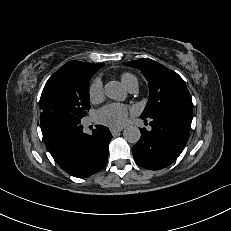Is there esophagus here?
Returning a JSON list of instances; mask_svg holds the SVG:
<instances>
[{"label": "esophagus", "instance_id": "1", "mask_svg": "<svg viewBox=\"0 0 231 231\" xmlns=\"http://www.w3.org/2000/svg\"><path fill=\"white\" fill-rule=\"evenodd\" d=\"M110 131H111L112 135L115 136L122 131V128H118V129L111 128Z\"/></svg>", "mask_w": 231, "mask_h": 231}]
</instances>
